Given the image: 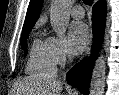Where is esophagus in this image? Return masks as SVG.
Returning a JSON list of instances; mask_svg holds the SVG:
<instances>
[{
	"label": "esophagus",
	"mask_w": 119,
	"mask_h": 95,
	"mask_svg": "<svg viewBox=\"0 0 119 95\" xmlns=\"http://www.w3.org/2000/svg\"><path fill=\"white\" fill-rule=\"evenodd\" d=\"M90 52H91V48L88 49L86 56H89Z\"/></svg>",
	"instance_id": "esophagus-1"
}]
</instances>
